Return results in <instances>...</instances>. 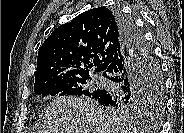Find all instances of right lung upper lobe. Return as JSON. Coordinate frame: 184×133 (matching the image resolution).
<instances>
[{"label":"right lung upper lobe","mask_w":184,"mask_h":133,"mask_svg":"<svg viewBox=\"0 0 184 133\" xmlns=\"http://www.w3.org/2000/svg\"><path fill=\"white\" fill-rule=\"evenodd\" d=\"M121 48L115 12L106 7L83 12L44 41L38 52L35 84L53 78L89 76L92 67L103 71Z\"/></svg>","instance_id":"right-lung-upper-lobe-1"}]
</instances>
